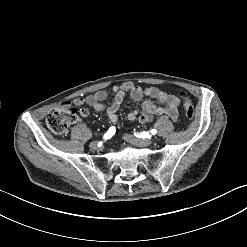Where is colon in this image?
<instances>
[{
	"mask_svg": "<svg viewBox=\"0 0 247 247\" xmlns=\"http://www.w3.org/2000/svg\"><path fill=\"white\" fill-rule=\"evenodd\" d=\"M179 96L183 101L185 113L188 119L194 120L196 118V110L193 107L189 96L184 91H179ZM78 120L77 110H60L52 109L46 116V125L51 133L55 135H62L67 132L69 126Z\"/></svg>",
	"mask_w": 247,
	"mask_h": 247,
	"instance_id": "1",
	"label": "colon"
}]
</instances>
